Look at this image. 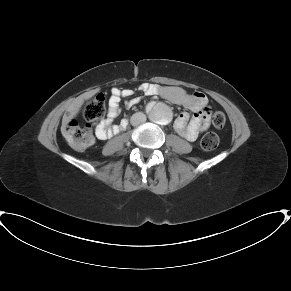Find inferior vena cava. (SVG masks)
I'll use <instances>...</instances> for the list:
<instances>
[{"label": "inferior vena cava", "instance_id": "602c4592", "mask_svg": "<svg viewBox=\"0 0 291 291\" xmlns=\"http://www.w3.org/2000/svg\"><path fill=\"white\" fill-rule=\"evenodd\" d=\"M130 121L133 126H138L146 121V115L142 112H137L132 115Z\"/></svg>", "mask_w": 291, "mask_h": 291}]
</instances>
